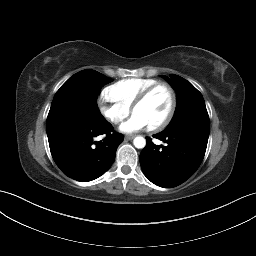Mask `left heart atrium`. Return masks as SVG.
Instances as JSON below:
<instances>
[{
    "mask_svg": "<svg viewBox=\"0 0 256 256\" xmlns=\"http://www.w3.org/2000/svg\"><path fill=\"white\" fill-rule=\"evenodd\" d=\"M148 122L139 114L133 113L132 116L123 122L120 126V131L123 133H135L148 128Z\"/></svg>",
    "mask_w": 256,
    "mask_h": 256,
    "instance_id": "39dd6f15",
    "label": "left heart atrium"
}]
</instances>
